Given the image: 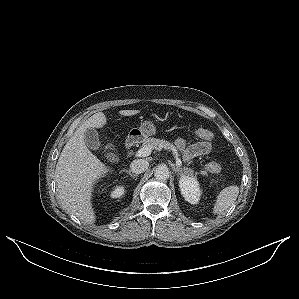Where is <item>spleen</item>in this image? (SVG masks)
<instances>
[{"label": "spleen", "instance_id": "obj_1", "mask_svg": "<svg viewBox=\"0 0 299 299\" xmlns=\"http://www.w3.org/2000/svg\"><path fill=\"white\" fill-rule=\"evenodd\" d=\"M238 194L239 187L236 185H232L221 190L214 204L213 214H223L226 212L234 204Z\"/></svg>", "mask_w": 299, "mask_h": 299}]
</instances>
